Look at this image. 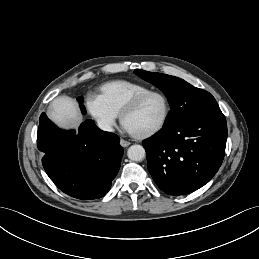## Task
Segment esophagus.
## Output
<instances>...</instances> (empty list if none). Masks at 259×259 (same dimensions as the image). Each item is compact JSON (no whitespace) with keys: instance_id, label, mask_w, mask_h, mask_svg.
Segmentation results:
<instances>
[{"instance_id":"esophagus-1","label":"esophagus","mask_w":259,"mask_h":259,"mask_svg":"<svg viewBox=\"0 0 259 259\" xmlns=\"http://www.w3.org/2000/svg\"><path fill=\"white\" fill-rule=\"evenodd\" d=\"M120 144H121L122 147H128L130 145V142H128L124 139H121Z\"/></svg>"}]
</instances>
